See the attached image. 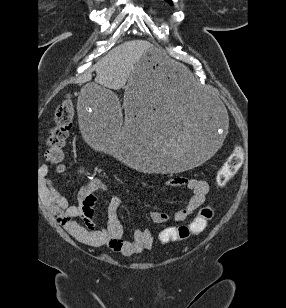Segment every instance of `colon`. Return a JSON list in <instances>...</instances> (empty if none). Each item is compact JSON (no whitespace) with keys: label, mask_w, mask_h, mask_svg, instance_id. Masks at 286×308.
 <instances>
[{"label":"colon","mask_w":286,"mask_h":308,"mask_svg":"<svg viewBox=\"0 0 286 308\" xmlns=\"http://www.w3.org/2000/svg\"><path fill=\"white\" fill-rule=\"evenodd\" d=\"M75 115V106L69 97H66L57 107L54 124L50 129L46 151V158L58 169L62 167L64 147L69 137V132ZM244 152L237 146L230 153L217 173L218 186L225 187L243 164ZM214 210L211 206L200 209L196 218L187 225L166 227L160 231L158 240L161 244L180 241L202 233L209 220L212 219Z\"/></svg>","instance_id":"5ec220e1"}]
</instances>
